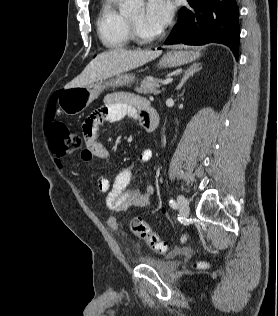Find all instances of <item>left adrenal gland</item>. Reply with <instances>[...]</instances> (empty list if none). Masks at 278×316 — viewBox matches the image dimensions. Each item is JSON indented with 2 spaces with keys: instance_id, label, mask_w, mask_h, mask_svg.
I'll use <instances>...</instances> for the list:
<instances>
[{
  "instance_id": "1",
  "label": "left adrenal gland",
  "mask_w": 278,
  "mask_h": 316,
  "mask_svg": "<svg viewBox=\"0 0 278 316\" xmlns=\"http://www.w3.org/2000/svg\"><path fill=\"white\" fill-rule=\"evenodd\" d=\"M201 64L200 63H193L183 74V77L179 83V85L176 87V90H179L183 87V85L186 83V81L192 77L196 72L201 70Z\"/></svg>"
}]
</instances>
